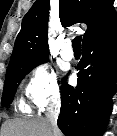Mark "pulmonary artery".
I'll use <instances>...</instances> for the list:
<instances>
[{
  "label": "pulmonary artery",
  "mask_w": 117,
  "mask_h": 136,
  "mask_svg": "<svg viewBox=\"0 0 117 136\" xmlns=\"http://www.w3.org/2000/svg\"><path fill=\"white\" fill-rule=\"evenodd\" d=\"M61 56L63 59L70 61L74 57L73 50L71 49V43L69 41H66L61 49Z\"/></svg>",
  "instance_id": "1"
}]
</instances>
